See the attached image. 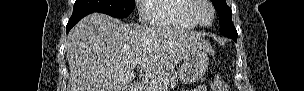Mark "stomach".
<instances>
[{
    "instance_id": "1",
    "label": "stomach",
    "mask_w": 304,
    "mask_h": 91,
    "mask_svg": "<svg viewBox=\"0 0 304 91\" xmlns=\"http://www.w3.org/2000/svg\"><path fill=\"white\" fill-rule=\"evenodd\" d=\"M208 68L207 51L193 49L185 57L179 70V77L183 83H192L201 78Z\"/></svg>"
}]
</instances>
